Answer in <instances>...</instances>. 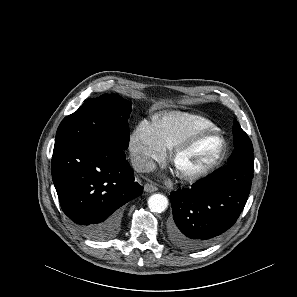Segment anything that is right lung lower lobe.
Returning <instances> with one entry per match:
<instances>
[{"label":"right lung lower lobe","instance_id":"98d812e1","mask_svg":"<svg viewBox=\"0 0 297 297\" xmlns=\"http://www.w3.org/2000/svg\"><path fill=\"white\" fill-rule=\"evenodd\" d=\"M51 170L63 212L92 240L116 236L122 206L143 190L134 181L124 150L102 140L55 144Z\"/></svg>","mask_w":297,"mask_h":297}]
</instances>
